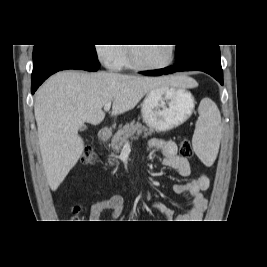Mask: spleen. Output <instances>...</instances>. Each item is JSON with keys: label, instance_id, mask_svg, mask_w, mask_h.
Here are the masks:
<instances>
[{"label": "spleen", "instance_id": "spleen-1", "mask_svg": "<svg viewBox=\"0 0 267 267\" xmlns=\"http://www.w3.org/2000/svg\"><path fill=\"white\" fill-rule=\"evenodd\" d=\"M200 117L197 121L192 138L193 149L206 165H212L216 159L221 136V116L218 108L210 104L199 108Z\"/></svg>", "mask_w": 267, "mask_h": 267}]
</instances>
